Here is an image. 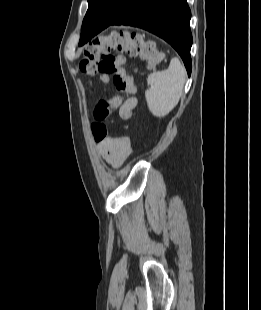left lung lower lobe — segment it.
Returning a JSON list of instances; mask_svg holds the SVG:
<instances>
[{
	"mask_svg": "<svg viewBox=\"0 0 261 310\" xmlns=\"http://www.w3.org/2000/svg\"><path fill=\"white\" fill-rule=\"evenodd\" d=\"M191 12L186 0H125L119 13L109 21L91 20L82 25L79 46L110 25L145 29L168 42L181 56L188 75L192 64L190 49Z\"/></svg>",
	"mask_w": 261,
	"mask_h": 310,
	"instance_id": "0a47b994",
	"label": "left lung lower lobe"
}]
</instances>
